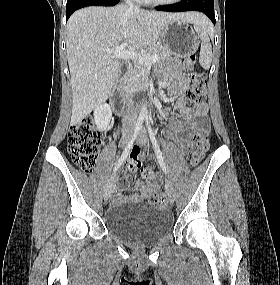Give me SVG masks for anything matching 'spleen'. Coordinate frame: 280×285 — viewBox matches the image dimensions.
I'll return each mask as SVG.
<instances>
[{
  "label": "spleen",
  "instance_id": "1",
  "mask_svg": "<svg viewBox=\"0 0 280 285\" xmlns=\"http://www.w3.org/2000/svg\"><path fill=\"white\" fill-rule=\"evenodd\" d=\"M194 29L202 41L199 63L204 69L208 70L212 60V46L209 34L213 30V27L207 19H202L194 24Z\"/></svg>",
  "mask_w": 280,
  "mask_h": 285
}]
</instances>
